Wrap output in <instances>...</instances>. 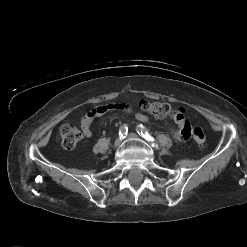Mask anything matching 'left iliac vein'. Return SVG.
I'll return each mask as SVG.
<instances>
[{"label":"left iliac vein","mask_w":247,"mask_h":247,"mask_svg":"<svg viewBox=\"0 0 247 247\" xmlns=\"http://www.w3.org/2000/svg\"><path fill=\"white\" fill-rule=\"evenodd\" d=\"M128 137H129V138H132V139H137V138H139V136H138L136 133H133V132L129 133V134H128Z\"/></svg>","instance_id":"1"}]
</instances>
